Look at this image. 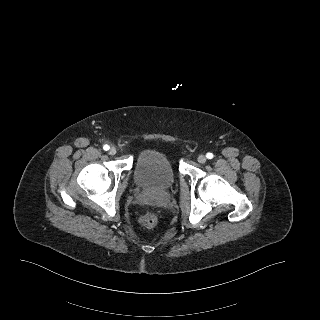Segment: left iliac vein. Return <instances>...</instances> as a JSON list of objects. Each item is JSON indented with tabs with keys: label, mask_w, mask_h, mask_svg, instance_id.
<instances>
[{
	"label": "left iliac vein",
	"mask_w": 320,
	"mask_h": 320,
	"mask_svg": "<svg viewBox=\"0 0 320 320\" xmlns=\"http://www.w3.org/2000/svg\"><path fill=\"white\" fill-rule=\"evenodd\" d=\"M197 160H198L199 163L203 164V163L206 162L207 159H206V156L201 154V155L198 156Z\"/></svg>",
	"instance_id": "obj_1"
}]
</instances>
